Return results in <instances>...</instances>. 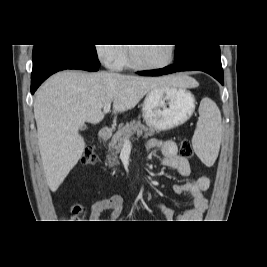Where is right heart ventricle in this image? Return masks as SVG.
<instances>
[{
    "label": "right heart ventricle",
    "instance_id": "obj_1",
    "mask_svg": "<svg viewBox=\"0 0 267 267\" xmlns=\"http://www.w3.org/2000/svg\"><path fill=\"white\" fill-rule=\"evenodd\" d=\"M123 66H129L126 55L124 53L122 54L120 61H119V67H123Z\"/></svg>",
    "mask_w": 267,
    "mask_h": 267
}]
</instances>
